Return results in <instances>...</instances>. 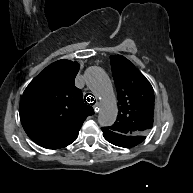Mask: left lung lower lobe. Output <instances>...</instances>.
Masks as SVG:
<instances>
[{"label": "left lung lower lobe", "mask_w": 193, "mask_h": 193, "mask_svg": "<svg viewBox=\"0 0 193 193\" xmlns=\"http://www.w3.org/2000/svg\"><path fill=\"white\" fill-rule=\"evenodd\" d=\"M102 130H103V136L105 137V139L108 142L116 146H120V147H126V148L133 147L144 140V139L143 140H133L132 138L128 136L118 134L108 129L102 128Z\"/></svg>", "instance_id": "obj_1"}]
</instances>
